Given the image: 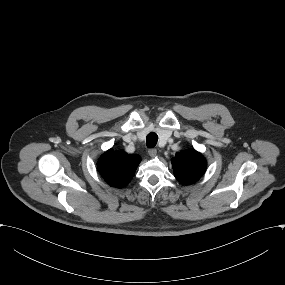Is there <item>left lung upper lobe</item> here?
Masks as SVG:
<instances>
[{
  "mask_svg": "<svg viewBox=\"0 0 285 285\" xmlns=\"http://www.w3.org/2000/svg\"><path fill=\"white\" fill-rule=\"evenodd\" d=\"M172 165L176 179L182 184L189 185L201 178L206 170L207 161L201 153L190 149L176 153Z\"/></svg>",
  "mask_w": 285,
  "mask_h": 285,
  "instance_id": "obj_1",
  "label": "left lung upper lobe"
}]
</instances>
